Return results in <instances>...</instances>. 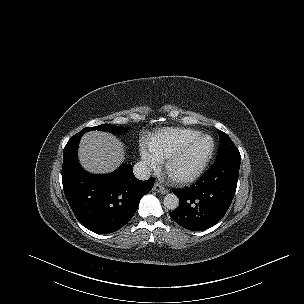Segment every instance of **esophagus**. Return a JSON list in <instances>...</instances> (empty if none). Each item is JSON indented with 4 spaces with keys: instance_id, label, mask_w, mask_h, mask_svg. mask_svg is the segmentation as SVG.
<instances>
[{
    "instance_id": "esophagus-1",
    "label": "esophagus",
    "mask_w": 304,
    "mask_h": 304,
    "mask_svg": "<svg viewBox=\"0 0 304 304\" xmlns=\"http://www.w3.org/2000/svg\"><path fill=\"white\" fill-rule=\"evenodd\" d=\"M153 189H154L156 192L160 193V194H167V193L169 192L168 189H166L164 186H162V185H161L160 183H158V182H156V183L154 184Z\"/></svg>"
}]
</instances>
